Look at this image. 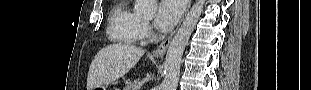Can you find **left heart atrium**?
<instances>
[{"instance_id":"left-heart-atrium-1","label":"left heart atrium","mask_w":311,"mask_h":90,"mask_svg":"<svg viewBox=\"0 0 311 90\" xmlns=\"http://www.w3.org/2000/svg\"><path fill=\"white\" fill-rule=\"evenodd\" d=\"M182 0H162L159 2L154 19L155 27L160 31L170 30L183 12Z\"/></svg>"}]
</instances>
